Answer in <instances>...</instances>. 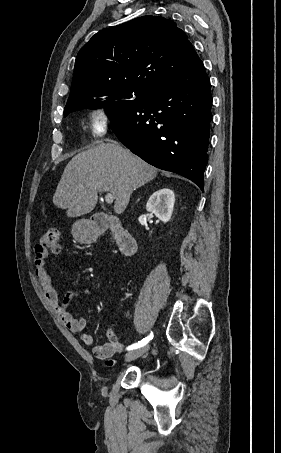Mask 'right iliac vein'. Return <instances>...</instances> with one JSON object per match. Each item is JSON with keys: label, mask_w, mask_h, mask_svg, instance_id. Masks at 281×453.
<instances>
[{"label": "right iliac vein", "mask_w": 281, "mask_h": 453, "mask_svg": "<svg viewBox=\"0 0 281 453\" xmlns=\"http://www.w3.org/2000/svg\"><path fill=\"white\" fill-rule=\"evenodd\" d=\"M150 348L148 346H142V348H138V350L130 351L127 353V356L124 357L125 362L135 361L137 357H141V355H145V353Z\"/></svg>", "instance_id": "1"}]
</instances>
